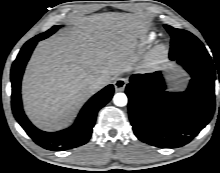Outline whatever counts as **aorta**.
<instances>
[{"mask_svg":"<svg viewBox=\"0 0 220 173\" xmlns=\"http://www.w3.org/2000/svg\"><path fill=\"white\" fill-rule=\"evenodd\" d=\"M113 102L116 106L123 107L127 105L128 98L124 93H116L113 97Z\"/></svg>","mask_w":220,"mask_h":173,"instance_id":"obj_1","label":"aorta"}]
</instances>
